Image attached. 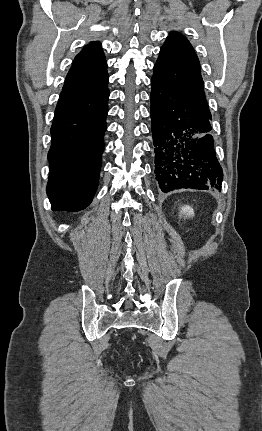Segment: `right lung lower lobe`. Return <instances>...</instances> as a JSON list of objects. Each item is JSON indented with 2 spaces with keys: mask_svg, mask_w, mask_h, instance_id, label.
<instances>
[{
  "mask_svg": "<svg viewBox=\"0 0 262 431\" xmlns=\"http://www.w3.org/2000/svg\"><path fill=\"white\" fill-rule=\"evenodd\" d=\"M109 90L62 91L51 127L47 194L54 211L86 208L98 187Z\"/></svg>",
  "mask_w": 262,
  "mask_h": 431,
  "instance_id": "1",
  "label": "right lung lower lobe"
}]
</instances>
